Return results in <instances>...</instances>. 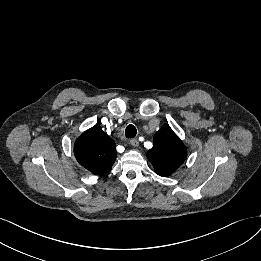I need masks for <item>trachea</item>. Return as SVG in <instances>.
I'll list each match as a JSON object with an SVG mask.
<instances>
[{
  "label": "trachea",
  "instance_id": "1",
  "mask_svg": "<svg viewBox=\"0 0 261 261\" xmlns=\"http://www.w3.org/2000/svg\"><path fill=\"white\" fill-rule=\"evenodd\" d=\"M137 134V130L135 128V126H133L132 124L128 125L126 127V130H125V136L127 138H134Z\"/></svg>",
  "mask_w": 261,
  "mask_h": 261
}]
</instances>
